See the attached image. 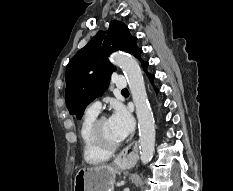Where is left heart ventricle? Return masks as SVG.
Returning a JSON list of instances; mask_svg holds the SVG:
<instances>
[{
	"label": "left heart ventricle",
	"instance_id": "left-heart-ventricle-1",
	"mask_svg": "<svg viewBox=\"0 0 233 191\" xmlns=\"http://www.w3.org/2000/svg\"><path fill=\"white\" fill-rule=\"evenodd\" d=\"M101 133H102L103 138L108 143L114 144V143L120 142V140L116 136V134H115V132L110 124L109 119H106L102 122Z\"/></svg>",
	"mask_w": 233,
	"mask_h": 191
}]
</instances>
